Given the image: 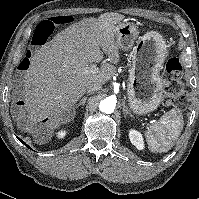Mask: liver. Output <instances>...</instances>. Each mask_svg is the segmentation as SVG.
<instances>
[{
    "mask_svg": "<svg viewBox=\"0 0 199 199\" xmlns=\"http://www.w3.org/2000/svg\"><path fill=\"white\" fill-rule=\"evenodd\" d=\"M124 18L111 12L83 19L35 52L15 90L25 102L20 115H14L20 128L31 133L41 130L45 139H50L55 128L74 118V105L88 86L95 82L103 85L115 75L114 65L120 56L114 29ZM104 54L112 64H101L91 71L90 65L99 62ZM46 118L48 123L43 126Z\"/></svg>",
    "mask_w": 199,
    "mask_h": 199,
    "instance_id": "1",
    "label": "liver"
}]
</instances>
